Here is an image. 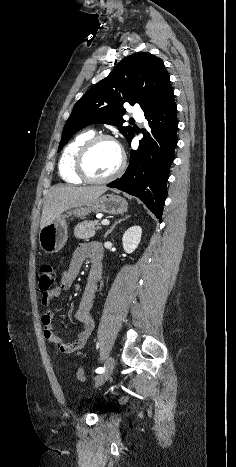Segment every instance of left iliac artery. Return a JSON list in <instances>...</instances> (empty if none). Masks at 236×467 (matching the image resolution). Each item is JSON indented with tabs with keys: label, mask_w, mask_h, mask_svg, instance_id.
I'll return each mask as SVG.
<instances>
[{
	"label": "left iliac artery",
	"mask_w": 236,
	"mask_h": 467,
	"mask_svg": "<svg viewBox=\"0 0 236 467\" xmlns=\"http://www.w3.org/2000/svg\"><path fill=\"white\" fill-rule=\"evenodd\" d=\"M97 347H98V345H97ZM102 372H104V368L99 367V368L96 369V373H102Z\"/></svg>",
	"instance_id": "44dca946"
}]
</instances>
